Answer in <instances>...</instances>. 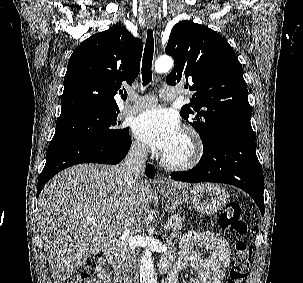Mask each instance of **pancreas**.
Wrapping results in <instances>:
<instances>
[{
	"mask_svg": "<svg viewBox=\"0 0 303 283\" xmlns=\"http://www.w3.org/2000/svg\"><path fill=\"white\" fill-rule=\"evenodd\" d=\"M170 219L172 220V223L170 224V230L172 231H178L181 230L183 228V222L185 220L184 217L177 215V214H173ZM126 252V248L124 245H122L121 243L118 244V254L123 257V255Z\"/></svg>",
	"mask_w": 303,
	"mask_h": 283,
	"instance_id": "pancreas-1",
	"label": "pancreas"
}]
</instances>
